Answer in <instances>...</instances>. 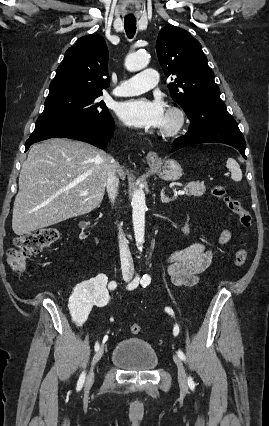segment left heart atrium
Wrapping results in <instances>:
<instances>
[{
  "label": "left heart atrium",
  "instance_id": "left-heart-atrium-1",
  "mask_svg": "<svg viewBox=\"0 0 269 426\" xmlns=\"http://www.w3.org/2000/svg\"><path fill=\"white\" fill-rule=\"evenodd\" d=\"M117 113L125 124L140 129L162 127L166 119L163 104L147 98L124 101L119 104Z\"/></svg>",
  "mask_w": 269,
  "mask_h": 426
}]
</instances>
